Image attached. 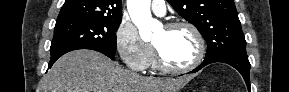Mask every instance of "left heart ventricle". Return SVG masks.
<instances>
[{"instance_id":"1","label":"left heart ventricle","mask_w":289,"mask_h":92,"mask_svg":"<svg viewBox=\"0 0 289 92\" xmlns=\"http://www.w3.org/2000/svg\"><path fill=\"white\" fill-rule=\"evenodd\" d=\"M153 44L160 51L164 60L175 67L189 65L197 55L196 39L186 28H162L154 36Z\"/></svg>"}]
</instances>
